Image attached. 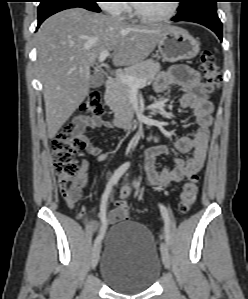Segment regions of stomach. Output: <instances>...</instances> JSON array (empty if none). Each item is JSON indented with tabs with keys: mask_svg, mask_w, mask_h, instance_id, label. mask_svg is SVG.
I'll list each match as a JSON object with an SVG mask.
<instances>
[{
	"mask_svg": "<svg viewBox=\"0 0 248 299\" xmlns=\"http://www.w3.org/2000/svg\"><path fill=\"white\" fill-rule=\"evenodd\" d=\"M199 50V43L186 30L178 27H169L158 42V51L167 62L192 59Z\"/></svg>",
	"mask_w": 248,
	"mask_h": 299,
	"instance_id": "1",
	"label": "stomach"
}]
</instances>
